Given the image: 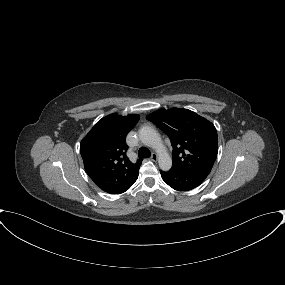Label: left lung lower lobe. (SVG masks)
I'll list each match as a JSON object with an SVG mask.
<instances>
[{"label":"left lung lower lobe","instance_id":"1","mask_svg":"<svg viewBox=\"0 0 285 285\" xmlns=\"http://www.w3.org/2000/svg\"><path fill=\"white\" fill-rule=\"evenodd\" d=\"M166 184L178 191H189L199 186L210 172L203 170L182 171L172 168L164 172L160 171Z\"/></svg>","mask_w":285,"mask_h":285}]
</instances>
